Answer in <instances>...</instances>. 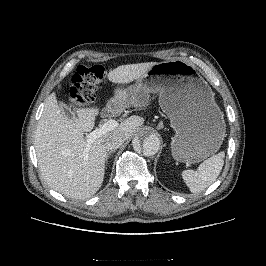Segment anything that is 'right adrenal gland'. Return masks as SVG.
Masks as SVG:
<instances>
[{
  "mask_svg": "<svg viewBox=\"0 0 266 266\" xmlns=\"http://www.w3.org/2000/svg\"><path fill=\"white\" fill-rule=\"evenodd\" d=\"M115 151L114 150H111L107 153V156H106V161L109 159V156L114 153Z\"/></svg>",
  "mask_w": 266,
  "mask_h": 266,
  "instance_id": "2a0ac1e0",
  "label": "right adrenal gland"
}]
</instances>
